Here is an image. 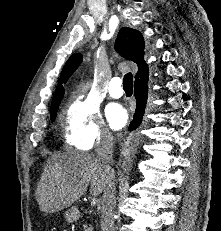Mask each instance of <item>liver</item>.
I'll return each mask as SVG.
<instances>
[{
	"instance_id": "1",
	"label": "liver",
	"mask_w": 221,
	"mask_h": 231,
	"mask_svg": "<svg viewBox=\"0 0 221 231\" xmlns=\"http://www.w3.org/2000/svg\"><path fill=\"white\" fill-rule=\"evenodd\" d=\"M107 174L94 154L67 151L48 160L35 192L39 209L55 213L70 207L86 191L101 194L106 188Z\"/></svg>"
}]
</instances>
